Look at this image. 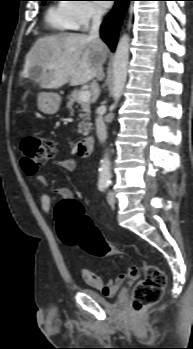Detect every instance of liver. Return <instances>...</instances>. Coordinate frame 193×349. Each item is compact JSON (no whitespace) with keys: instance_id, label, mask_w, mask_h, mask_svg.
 <instances>
[{"instance_id":"liver-1","label":"liver","mask_w":193,"mask_h":349,"mask_svg":"<svg viewBox=\"0 0 193 349\" xmlns=\"http://www.w3.org/2000/svg\"><path fill=\"white\" fill-rule=\"evenodd\" d=\"M108 48L100 39L78 33H59L39 38L26 55L23 78H32L30 70H40L36 79L45 89L66 83L81 85L97 77L102 79Z\"/></svg>"}]
</instances>
